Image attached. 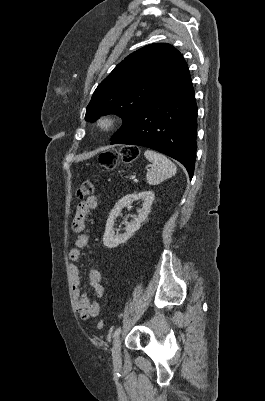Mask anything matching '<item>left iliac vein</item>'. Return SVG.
Wrapping results in <instances>:
<instances>
[{
  "instance_id": "obj_1",
  "label": "left iliac vein",
  "mask_w": 265,
  "mask_h": 401,
  "mask_svg": "<svg viewBox=\"0 0 265 401\" xmlns=\"http://www.w3.org/2000/svg\"><path fill=\"white\" fill-rule=\"evenodd\" d=\"M120 350H121V340L117 339L114 342L113 350H112V358H113V361L115 364H118L121 361Z\"/></svg>"
}]
</instances>
